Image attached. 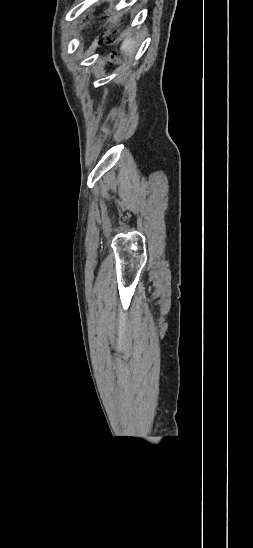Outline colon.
I'll return each mask as SVG.
<instances>
[{
	"label": "colon",
	"mask_w": 253,
	"mask_h": 548,
	"mask_svg": "<svg viewBox=\"0 0 253 548\" xmlns=\"http://www.w3.org/2000/svg\"><path fill=\"white\" fill-rule=\"evenodd\" d=\"M116 38H117L116 32L111 31L103 37L102 43L105 44V45H111L115 42Z\"/></svg>",
	"instance_id": "colon-1"
}]
</instances>
